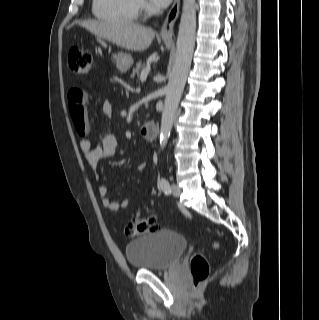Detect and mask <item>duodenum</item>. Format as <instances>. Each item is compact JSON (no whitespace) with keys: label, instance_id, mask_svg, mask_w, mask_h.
Instances as JSON below:
<instances>
[{"label":"duodenum","instance_id":"duodenum-1","mask_svg":"<svg viewBox=\"0 0 319 320\" xmlns=\"http://www.w3.org/2000/svg\"><path fill=\"white\" fill-rule=\"evenodd\" d=\"M158 126L154 122H146L141 125V136L149 141H154L158 136Z\"/></svg>","mask_w":319,"mask_h":320}]
</instances>
